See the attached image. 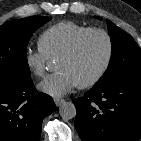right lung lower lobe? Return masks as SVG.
Listing matches in <instances>:
<instances>
[{
    "label": "right lung lower lobe",
    "instance_id": "right-lung-lower-lobe-1",
    "mask_svg": "<svg viewBox=\"0 0 141 141\" xmlns=\"http://www.w3.org/2000/svg\"><path fill=\"white\" fill-rule=\"evenodd\" d=\"M55 109L51 96L36 93L31 78L0 81V141H39L42 121Z\"/></svg>",
    "mask_w": 141,
    "mask_h": 141
}]
</instances>
